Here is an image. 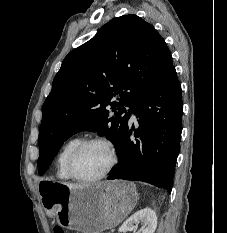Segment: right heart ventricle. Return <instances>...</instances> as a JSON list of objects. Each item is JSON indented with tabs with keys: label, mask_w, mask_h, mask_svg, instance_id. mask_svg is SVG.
<instances>
[{
	"label": "right heart ventricle",
	"mask_w": 227,
	"mask_h": 233,
	"mask_svg": "<svg viewBox=\"0 0 227 233\" xmlns=\"http://www.w3.org/2000/svg\"><path fill=\"white\" fill-rule=\"evenodd\" d=\"M80 140L78 138H72L68 140L60 149L55 166H56V175L61 180H70L71 177L68 174L67 167H66V161L69 152L72 150V148L79 142Z\"/></svg>",
	"instance_id": "e07e8e85"
}]
</instances>
